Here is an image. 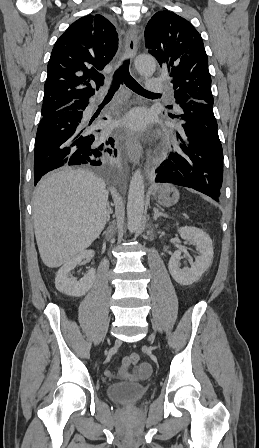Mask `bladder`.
Segmentation results:
<instances>
[{
    "label": "bladder",
    "instance_id": "obj_1",
    "mask_svg": "<svg viewBox=\"0 0 259 448\" xmlns=\"http://www.w3.org/2000/svg\"><path fill=\"white\" fill-rule=\"evenodd\" d=\"M106 392L114 402L132 403L146 395L147 386L141 383H114L107 386Z\"/></svg>",
    "mask_w": 259,
    "mask_h": 448
}]
</instances>
